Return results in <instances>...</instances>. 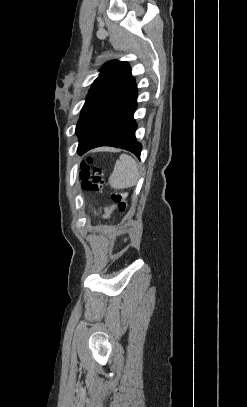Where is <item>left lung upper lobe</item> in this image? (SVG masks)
<instances>
[{
  "label": "left lung upper lobe",
  "instance_id": "obj_1",
  "mask_svg": "<svg viewBox=\"0 0 247 407\" xmlns=\"http://www.w3.org/2000/svg\"><path fill=\"white\" fill-rule=\"evenodd\" d=\"M100 72L87 95L76 126L79 143L107 106L135 83L127 62L110 61L100 69Z\"/></svg>",
  "mask_w": 247,
  "mask_h": 407
}]
</instances>
